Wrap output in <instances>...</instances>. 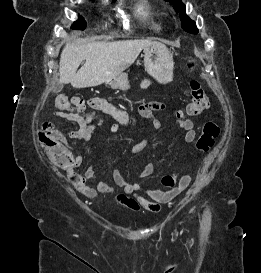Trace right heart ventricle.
<instances>
[{"label": "right heart ventricle", "mask_w": 261, "mask_h": 273, "mask_svg": "<svg viewBox=\"0 0 261 273\" xmlns=\"http://www.w3.org/2000/svg\"><path fill=\"white\" fill-rule=\"evenodd\" d=\"M135 12L139 18L151 23L155 28L160 27L155 21V13L148 0H140L135 7Z\"/></svg>", "instance_id": "right-heart-ventricle-1"}]
</instances>
